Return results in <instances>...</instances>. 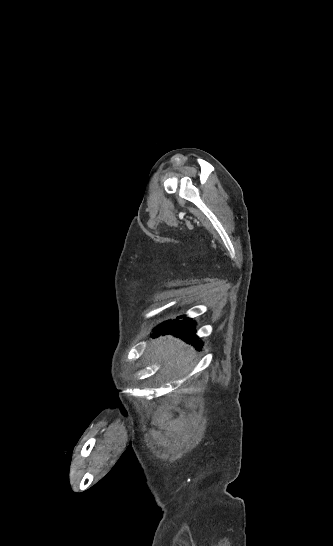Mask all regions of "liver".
Masks as SVG:
<instances>
[{
  "label": "liver",
  "mask_w": 333,
  "mask_h": 546,
  "mask_svg": "<svg viewBox=\"0 0 333 546\" xmlns=\"http://www.w3.org/2000/svg\"><path fill=\"white\" fill-rule=\"evenodd\" d=\"M153 357L155 360L164 361L161 373L172 372L180 377L191 369L189 363L194 357V349L177 338L160 337L154 343Z\"/></svg>",
  "instance_id": "6515ba94"
}]
</instances>
